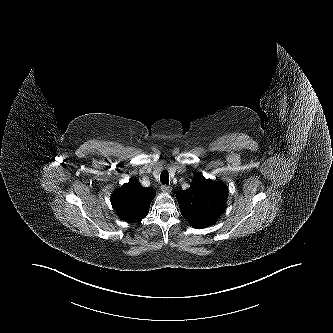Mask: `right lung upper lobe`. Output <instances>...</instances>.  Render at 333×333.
<instances>
[{
	"label": "right lung upper lobe",
	"mask_w": 333,
	"mask_h": 333,
	"mask_svg": "<svg viewBox=\"0 0 333 333\" xmlns=\"http://www.w3.org/2000/svg\"><path fill=\"white\" fill-rule=\"evenodd\" d=\"M154 196L153 188H145L139 182L130 180L112 193L111 203L123 220L133 223L148 214Z\"/></svg>",
	"instance_id": "right-lung-upper-lobe-1"
}]
</instances>
